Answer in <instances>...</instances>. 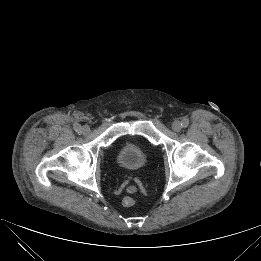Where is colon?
<instances>
[{"label": "colon", "instance_id": "obj_1", "mask_svg": "<svg viewBox=\"0 0 261 261\" xmlns=\"http://www.w3.org/2000/svg\"><path fill=\"white\" fill-rule=\"evenodd\" d=\"M135 199L132 196H125L122 200V204L125 207H131L135 204Z\"/></svg>", "mask_w": 261, "mask_h": 261}]
</instances>
